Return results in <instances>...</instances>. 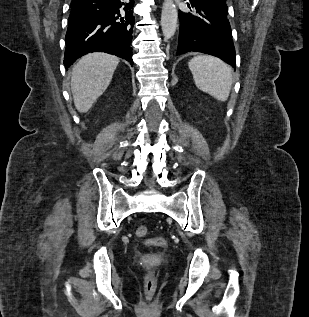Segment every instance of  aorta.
Wrapping results in <instances>:
<instances>
[{"label":"aorta","mask_w":309,"mask_h":317,"mask_svg":"<svg viewBox=\"0 0 309 317\" xmlns=\"http://www.w3.org/2000/svg\"><path fill=\"white\" fill-rule=\"evenodd\" d=\"M178 14L173 0H165L162 7L161 27L165 39L174 36L177 28Z\"/></svg>","instance_id":"obj_1"}]
</instances>
